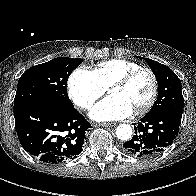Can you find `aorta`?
I'll use <instances>...</instances> for the list:
<instances>
[{
  "instance_id": "aorta-1",
  "label": "aorta",
  "mask_w": 196,
  "mask_h": 196,
  "mask_svg": "<svg viewBox=\"0 0 196 196\" xmlns=\"http://www.w3.org/2000/svg\"><path fill=\"white\" fill-rule=\"evenodd\" d=\"M117 138L120 140H129L132 136V128L129 124H120L116 128Z\"/></svg>"
}]
</instances>
